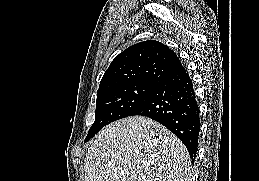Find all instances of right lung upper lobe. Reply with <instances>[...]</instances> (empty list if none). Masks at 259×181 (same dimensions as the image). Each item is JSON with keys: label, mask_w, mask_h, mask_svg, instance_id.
<instances>
[{"label": "right lung upper lobe", "mask_w": 259, "mask_h": 181, "mask_svg": "<svg viewBox=\"0 0 259 181\" xmlns=\"http://www.w3.org/2000/svg\"><path fill=\"white\" fill-rule=\"evenodd\" d=\"M181 66L176 53L166 45L156 40L140 42L115 57L101 79L98 92L135 83L157 84Z\"/></svg>", "instance_id": "cb5924a9"}]
</instances>
